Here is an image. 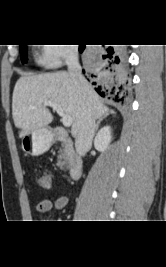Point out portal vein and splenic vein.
Segmentation results:
<instances>
[{
	"instance_id": "portal-vein-and-splenic-vein-1",
	"label": "portal vein and splenic vein",
	"mask_w": 166,
	"mask_h": 267,
	"mask_svg": "<svg viewBox=\"0 0 166 267\" xmlns=\"http://www.w3.org/2000/svg\"><path fill=\"white\" fill-rule=\"evenodd\" d=\"M45 106H50L52 107L54 110L57 111V113L62 117V123L65 127H70L72 125V117L66 113H64L63 109L61 108V106H59L58 104L52 102V101H46L44 102Z\"/></svg>"
}]
</instances>
